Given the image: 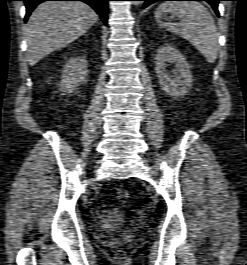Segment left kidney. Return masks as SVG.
I'll return each instance as SVG.
<instances>
[{
  "label": "left kidney",
  "mask_w": 247,
  "mask_h": 265,
  "mask_svg": "<svg viewBox=\"0 0 247 265\" xmlns=\"http://www.w3.org/2000/svg\"><path fill=\"white\" fill-rule=\"evenodd\" d=\"M167 63H175L174 76H169ZM191 66L181 52L173 45L165 43L155 57V72L163 91L172 97H181L188 93L192 86Z\"/></svg>",
  "instance_id": "1"
}]
</instances>
